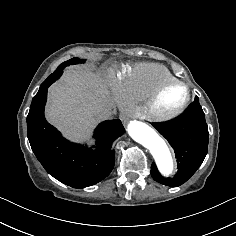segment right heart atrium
Wrapping results in <instances>:
<instances>
[{"mask_svg": "<svg viewBox=\"0 0 236 236\" xmlns=\"http://www.w3.org/2000/svg\"><path fill=\"white\" fill-rule=\"evenodd\" d=\"M107 96L109 97L114 109H121L126 102L124 100L122 85L116 79H107L105 82Z\"/></svg>", "mask_w": 236, "mask_h": 236, "instance_id": "1", "label": "right heart atrium"}]
</instances>
